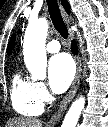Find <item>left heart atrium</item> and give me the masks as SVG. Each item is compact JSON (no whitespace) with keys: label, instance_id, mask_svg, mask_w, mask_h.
<instances>
[{"label":"left heart atrium","instance_id":"left-heart-atrium-1","mask_svg":"<svg viewBox=\"0 0 108 127\" xmlns=\"http://www.w3.org/2000/svg\"><path fill=\"white\" fill-rule=\"evenodd\" d=\"M74 75L75 65L67 54L61 53L50 59L48 77L54 92H64L70 86Z\"/></svg>","mask_w":108,"mask_h":127}]
</instances>
